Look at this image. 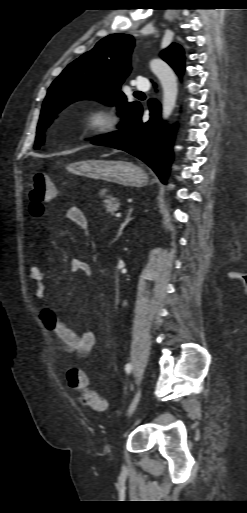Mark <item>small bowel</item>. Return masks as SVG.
I'll list each match as a JSON object with an SVG mask.
<instances>
[{"instance_id": "c3829d8e", "label": "small bowel", "mask_w": 247, "mask_h": 513, "mask_svg": "<svg viewBox=\"0 0 247 513\" xmlns=\"http://www.w3.org/2000/svg\"><path fill=\"white\" fill-rule=\"evenodd\" d=\"M66 218L75 224L84 234L87 233L88 223L84 213L75 206L66 211ZM73 272H82L86 276L91 275V267L88 263L75 259L71 262ZM31 281V294L46 305L39 311V318L46 329L54 333L60 340L63 350L70 355L84 358L93 350L96 342L95 333L91 329H85L79 333L68 323L62 321L57 309L47 305V275L44 269L38 265L29 268Z\"/></svg>"}]
</instances>
